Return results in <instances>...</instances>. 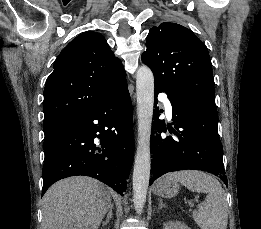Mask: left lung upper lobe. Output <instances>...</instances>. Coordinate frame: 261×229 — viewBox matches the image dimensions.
Listing matches in <instances>:
<instances>
[{
	"instance_id": "5c2ea615",
	"label": "left lung upper lobe",
	"mask_w": 261,
	"mask_h": 229,
	"mask_svg": "<svg viewBox=\"0 0 261 229\" xmlns=\"http://www.w3.org/2000/svg\"><path fill=\"white\" fill-rule=\"evenodd\" d=\"M142 61L155 85L166 92L195 95L215 103L212 65L206 46L189 29L164 22L150 29Z\"/></svg>"
}]
</instances>
